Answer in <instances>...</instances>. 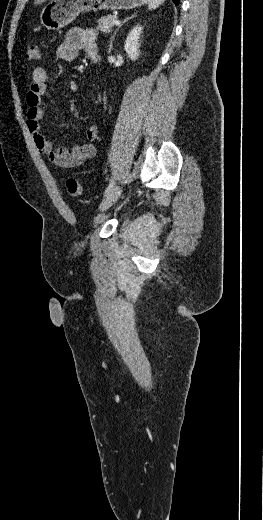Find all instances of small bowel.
<instances>
[{"label": "small bowel", "instance_id": "small-bowel-1", "mask_svg": "<svg viewBox=\"0 0 263 520\" xmlns=\"http://www.w3.org/2000/svg\"><path fill=\"white\" fill-rule=\"evenodd\" d=\"M97 34L90 28L70 29L63 42L56 49L57 59L71 62L83 50L88 57L92 54L98 55L96 42ZM48 72L44 67H36L32 73L30 89L26 94L27 127L33 136L38 151L46 156L53 164L63 168H73L83 164L95 155L94 141L99 135V126L91 124L86 131L87 141L74 147L55 148L46 136L41 132V121L45 112L42 108L43 96L49 91Z\"/></svg>", "mask_w": 263, "mask_h": 520}]
</instances>
